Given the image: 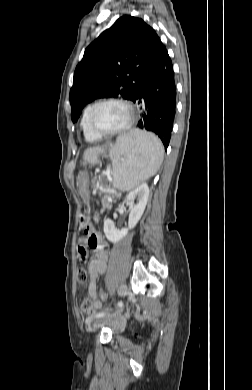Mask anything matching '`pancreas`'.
<instances>
[{
    "label": "pancreas",
    "instance_id": "cf45deb5",
    "mask_svg": "<svg viewBox=\"0 0 252 390\" xmlns=\"http://www.w3.org/2000/svg\"><path fill=\"white\" fill-rule=\"evenodd\" d=\"M102 202L103 209H111L112 205L111 202Z\"/></svg>",
    "mask_w": 252,
    "mask_h": 390
}]
</instances>
